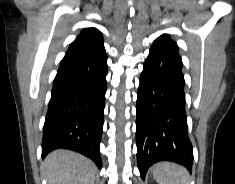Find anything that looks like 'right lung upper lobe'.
Returning <instances> with one entry per match:
<instances>
[{
    "instance_id": "cb5924a9",
    "label": "right lung upper lobe",
    "mask_w": 235,
    "mask_h": 184,
    "mask_svg": "<svg viewBox=\"0 0 235 184\" xmlns=\"http://www.w3.org/2000/svg\"><path fill=\"white\" fill-rule=\"evenodd\" d=\"M105 48L101 32L96 28H86L71 43L65 56L104 55Z\"/></svg>"
}]
</instances>
